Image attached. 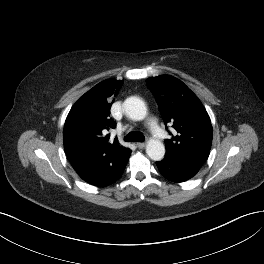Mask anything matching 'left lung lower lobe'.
Returning a JSON list of instances; mask_svg holds the SVG:
<instances>
[{"mask_svg": "<svg viewBox=\"0 0 264 264\" xmlns=\"http://www.w3.org/2000/svg\"><path fill=\"white\" fill-rule=\"evenodd\" d=\"M160 173L168 180L179 183L194 177L200 167L195 165L179 164L167 158L156 162Z\"/></svg>", "mask_w": 264, "mask_h": 264, "instance_id": "0a47b994", "label": "left lung lower lobe"}]
</instances>
